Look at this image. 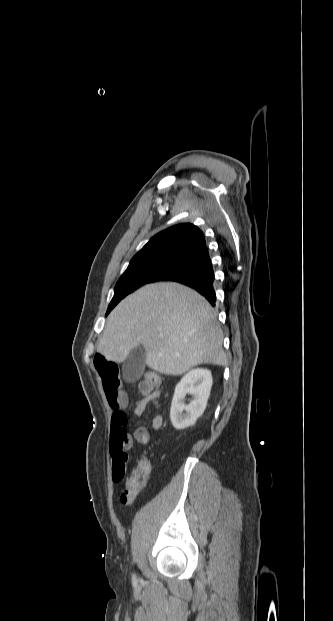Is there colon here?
Here are the masks:
<instances>
[{
  "mask_svg": "<svg viewBox=\"0 0 333 621\" xmlns=\"http://www.w3.org/2000/svg\"><path fill=\"white\" fill-rule=\"evenodd\" d=\"M145 380L155 389L160 388L162 380L158 373L149 371L146 373ZM150 472V463L147 459H142L132 470L125 480L124 489L120 500L123 504L131 503L140 490L144 487ZM125 477V469L116 466L112 469V478L114 482H121Z\"/></svg>",
  "mask_w": 333,
  "mask_h": 621,
  "instance_id": "obj_1",
  "label": "colon"
}]
</instances>
